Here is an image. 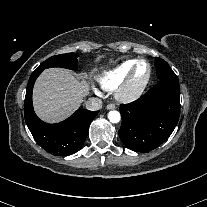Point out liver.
<instances>
[{"mask_svg": "<svg viewBox=\"0 0 207 207\" xmlns=\"http://www.w3.org/2000/svg\"><path fill=\"white\" fill-rule=\"evenodd\" d=\"M89 90L86 80L75 77L66 69H46L34 85V110L45 122L62 121L80 107Z\"/></svg>", "mask_w": 207, "mask_h": 207, "instance_id": "obj_1", "label": "liver"}]
</instances>
